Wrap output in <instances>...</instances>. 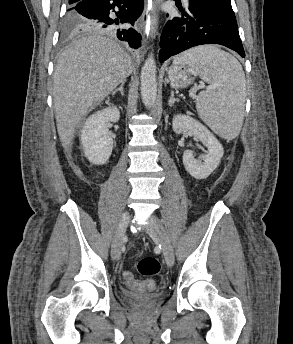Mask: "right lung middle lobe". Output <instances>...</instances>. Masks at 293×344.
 <instances>
[{
  "label": "right lung middle lobe",
  "mask_w": 293,
  "mask_h": 344,
  "mask_svg": "<svg viewBox=\"0 0 293 344\" xmlns=\"http://www.w3.org/2000/svg\"><path fill=\"white\" fill-rule=\"evenodd\" d=\"M89 22V20L75 13L71 7L68 9V13L65 18L62 34L64 37H70L82 30H89L91 29L88 25Z\"/></svg>",
  "instance_id": "right-lung-middle-lobe-1"
}]
</instances>
